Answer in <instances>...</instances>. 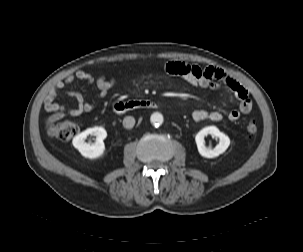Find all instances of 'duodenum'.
Masks as SVG:
<instances>
[{"instance_id": "obj_1", "label": "duodenum", "mask_w": 303, "mask_h": 252, "mask_svg": "<svg viewBox=\"0 0 303 252\" xmlns=\"http://www.w3.org/2000/svg\"><path fill=\"white\" fill-rule=\"evenodd\" d=\"M157 106L156 102L149 99H134L126 102H117L113 106V111L118 114H124L134 109H152Z\"/></svg>"}]
</instances>
